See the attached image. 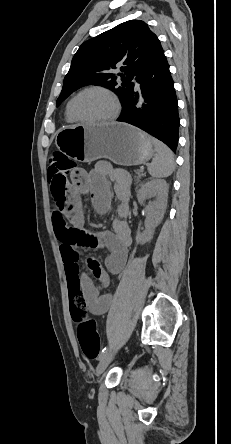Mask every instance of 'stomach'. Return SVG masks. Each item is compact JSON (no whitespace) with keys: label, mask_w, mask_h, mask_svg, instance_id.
I'll return each instance as SVG.
<instances>
[{"label":"stomach","mask_w":231,"mask_h":444,"mask_svg":"<svg viewBox=\"0 0 231 444\" xmlns=\"http://www.w3.org/2000/svg\"><path fill=\"white\" fill-rule=\"evenodd\" d=\"M57 148L79 162L106 158L122 166L140 165L152 158V138L126 123L78 124L58 130Z\"/></svg>","instance_id":"stomach-1"}]
</instances>
